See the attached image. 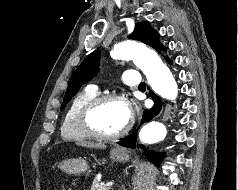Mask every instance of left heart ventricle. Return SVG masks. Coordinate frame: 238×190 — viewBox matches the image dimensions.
<instances>
[{"label":"left heart ventricle","instance_id":"obj_1","mask_svg":"<svg viewBox=\"0 0 238 190\" xmlns=\"http://www.w3.org/2000/svg\"><path fill=\"white\" fill-rule=\"evenodd\" d=\"M129 116L124 102L112 100L99 107L94 114L93 122L101 132L115 133L127 124Z\"/></svg>","mask_w":238,"mask_h":190}]
</instances>
